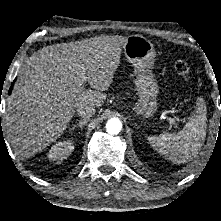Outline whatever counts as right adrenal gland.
<instances>
[{
	"label": "right adrenal gland",
	"instance_id": "2a0ac1e0",
	"mask_svg": "<svg viewBox=\"0 0 221 221\" xmlns=\"http://www.w3.org/2000/svg\"><path fill=\"white\" fill-rule=\"evenodd\" d=\"M87 122H88V120H86V119L79 120V122L72 127V130H74V129H76V128L83 129V126H84Z\"/></svg>",
	"mask_w": 221,
	"mask_h": 221
}]
</instances>
